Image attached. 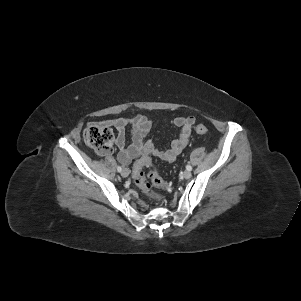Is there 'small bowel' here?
Masks as SVG:
<instances>
[{
    "label": "small bowel",
    "mask_w": 301,
    "mask_h": 301,
    "mask_svg": "<svg viewBox=\"0 0 301 301\" xmlns=\"http://www.w3.org/2000/svg\"><path fill=\"white\" fill-rule=\"evenodd\" d=\"M196 122L194 116L176 117L171 123L179 128L178 136L167 148H158L155 143L148 139L153 122L144 115H138L129 120L116 118L107 120L105 123L117 131L115 145L118 149V160L128 165L139 156L152 155L165 161H173L187 146L192 127ZM131 130V142L127 144V129Z\"/></svg>",
    "instance_id": "1"
}]
</instances>
